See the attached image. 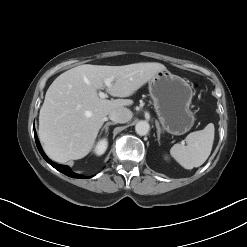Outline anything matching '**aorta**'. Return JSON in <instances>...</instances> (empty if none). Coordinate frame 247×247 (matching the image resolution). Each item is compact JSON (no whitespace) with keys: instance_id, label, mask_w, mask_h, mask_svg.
Returning <instances> with one entry per match:
<instances>
[{"instance_id":"aorta-1","label":"aorta","mask_w":247,"mask_h":247,"mask_svg":"<svg viewBox=\"0 0 247 247\" xmlns=\"http://www.w3.org/2000/svg\"><path fill=\"white\" fill-rule=\"evenodd\" d=\"M150 125L147 121H139L135 126V131L138 135H146L149 132Z\"/></svg>"}]
</instances>
